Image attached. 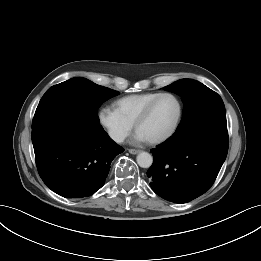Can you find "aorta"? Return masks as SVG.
Masks as SVG:
<instances>
[{"instance_id": "aorta-1", "label": "aorta", "mask_w": 261, "mask_h": 261, "mask_svg": "<svg viewBox=\"0 0 261 261\" xmlns=\"http://www.w3.org/2000/svg\"><path fill=\"white\" fill-rule=\"evenodd\" d=\"M137 163L142 168H149L153 163V157L148 152H140L137 155Z\"/></svg>"}]
</instances>
